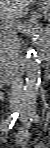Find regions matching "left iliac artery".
Here are the masks:
<instances>
[{
    "instance_id": "1",
    "label": "left iliac artery",
    "mask_w": 50,
    "mask_h": 148,
    "mask_svg": "<svg viewBox=\"0 0 50 148\" xmlns=\"http://www.w3.org/2000/svg\"><path fill=\"white\" fill-rule=\"evenodd\" d=\"M28 115L31 121L39 122V115L36 113V106L34 103L28 105Z\"/></svg>"
}]
</instances>
